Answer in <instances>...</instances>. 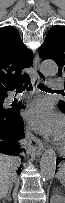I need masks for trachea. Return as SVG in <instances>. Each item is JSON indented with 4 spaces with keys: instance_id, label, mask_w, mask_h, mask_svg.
I'll use <instances>...</instances> for the list:
<instances>
[{
    "instance_id": "3493384b",
    "label": "trachea",
    "mask_w": 65,
    "mask_h": 203,
    "mask_svg": "<svg viewBox=\"0 0 65 203\" xmlns=\"http://www.w3.org/2000/svg\"><path fill=\"white\" fill-rule=\"evenodd\" d=\"M41 90L43 91H51L48 87H46L43 83H40L39 86H38ZM27 88L26 85L24 86H21L19 85L18 88L16 89L17 91H23Z\"/></svg>"
}]
</instances>
